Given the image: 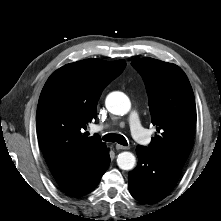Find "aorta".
Masks as SVG:
<instances>
[{
    "label": "aorta",
    "mask_w": 221,
    "mask_h": 221,
    "mask_svg": "<svg viewBox=\"0 0 221 221\" xmlns=\"http://www.w3.org/2000/svg\"><path fill=\"white\" fill-rule=\"evenodd\" d=\"M107 110L115 115H125L130 111L129 98L122 92L110 93L105 101ZM136 163L135 156L131 152H122L117 157V164L122 170H131Z\"/></svg>",
    "instance_id": "aorta-1"
}]
</instances>
